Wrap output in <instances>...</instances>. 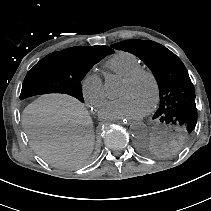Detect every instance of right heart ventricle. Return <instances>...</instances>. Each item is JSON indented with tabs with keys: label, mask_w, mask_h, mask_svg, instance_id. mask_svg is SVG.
<instances>
[{
	"label": "right heart ventricle",
	"mask_w": 211,
	"mask_h": 211,
	"mask_svg": "<svg viewBox=\"0 0 211 211\" xmlns=\"http://www.w3.org/2000/svg\"><path fill=\"white\" fill-rule=\"evenodd\" d=\"M105 66L120 77H125L135 70L142 68L141 60L130 52L120 51L110 57Z\"/></svg>",
	"instance_id": "right-heart-ventricle-1"
}]
</instances>
